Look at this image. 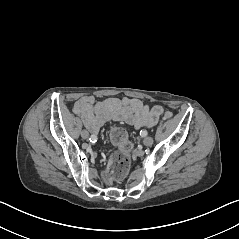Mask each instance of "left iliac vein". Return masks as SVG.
Wrapping results in <instances>:
<instances>
[{"label": "left iliac vein", "instance_id": "obj_1", "mask_svg": "<svg viewBox=\"0 0 239 239\" xmlns=\"http://www.w3.org/2000/svg\"><path fill=\"white\" fill-rule=\"evenodd\" d=\"M143 144L145 146H151L153 144V138L148 136V137H145L144 140H143Z\"/></svg>", "mask_w": 239, "mask_h": 239}]
</instances>
